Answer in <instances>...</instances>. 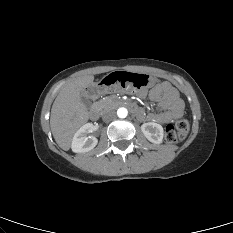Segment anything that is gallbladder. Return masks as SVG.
<instances>
[{
  "label": "gallbladder",
  "mask_w": 233,
  "mask_h": 233,
  "mask_svg": "<svg viewBox=\"0 0 233 233\" xmlns=\"http://www.w3.org/2000/svg\"><path fill=\"white\" fill-rule=\"evenodd\" d=\"M81 100L85 104L86 107H90L92 104V101L84 95H81Z\"/></svg>",
  "instance_id": "gallbladder-1"
}]
</instances>
